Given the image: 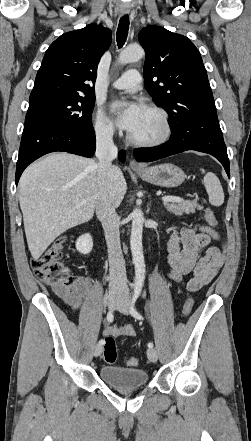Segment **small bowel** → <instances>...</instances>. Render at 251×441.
Wrapping results in <instances>:
<instances>
[{
  "label": "small bowel",
  "instance_id": "1",
  "mask_svg": "<svg viewBox=\"0 0 251 441\" xmlns=\"http://www.w3.org/2000/svg\"><path fill=\"white\" fill-rule=\"evenodd\" d=\"M218 240L216 231L208 226L171 227L167 243L169 276L186 290L196 292L210 283L223 263V252L214 241ZM192 277L184 282V277ZM90 289V281L80 278L77 285L67 291L54 292L72 309L78 310ZM106 337H130L135 335L131 325H115L103 331Z\"/></svg>",
  "mask_w": 251,
  "mask_h": 441
}]
</instances>
